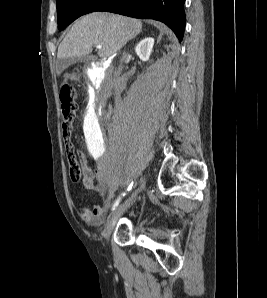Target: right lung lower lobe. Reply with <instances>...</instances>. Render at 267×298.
Segmentation results:
<instances>
[{"mask_svg":"<svg viewBox=\"0 0 267 298\" xmlns=\"http://www.w3.org/2000/svg\"><path fill=\"white\" fill-rule=\"evenodd\" d=\"M185 0H104L94 11L155 19L170 27L181 41L185 28Z\"/></svg>","mask_w":267,"mask_h":298,"instance_id":"obj_1","label":"right lung lower lobe"}]
</instances>
